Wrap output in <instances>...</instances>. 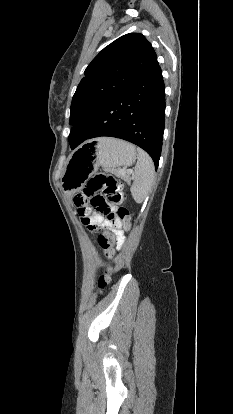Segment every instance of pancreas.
<instances>
[{
  "label": "pancreas",
  "instance_id": "obj_1",
  "mask_svg": "<svg viewBox=\"0 0 233 414\" xmlns=\"http://www.w3.org/2000/svg\"><path fill=\"white\" fill-rule=\"evenodd\" d=\"M115 174L118 177H121L122 179H124L125 181H129L130 180V178L125 173H121L120 170H116L115 171Z\"/></svg>",
  "mask_w": 233,
  "mask_h": 414
}]
</instances>
